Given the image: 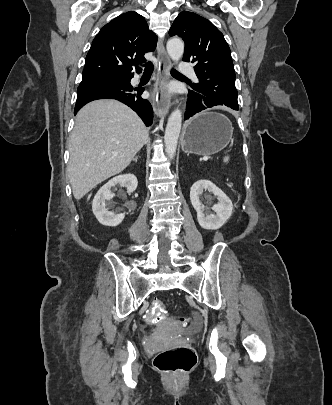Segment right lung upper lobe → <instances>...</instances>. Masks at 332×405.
Listing matches in <instances>:
<instances>
[{
	"instance_id": "1",
	"label": "right lung upper lobe",
	"mask_w": 332,
	"mask_h": 405,
	"mask_svg": "<svg viewBox=\"0 0 332 405\" xmlns=\"http://www.w3.org/2000/svg\"><path fill=\"white\" fill-rule=\"evenodd\" d=\"M156 48V35L146 20L131 11L106 24L93 40L86 56L83 77L133 76V65L144 63V54ZM136 72L141 68L136 66Z\"/></svg>"
}]
</instances>
